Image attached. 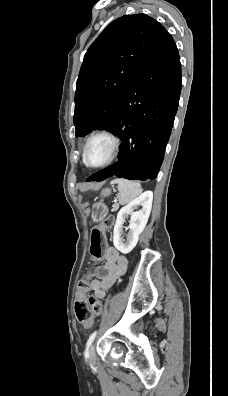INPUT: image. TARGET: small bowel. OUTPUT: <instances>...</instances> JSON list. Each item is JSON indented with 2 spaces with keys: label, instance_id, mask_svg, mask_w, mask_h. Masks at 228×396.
<instances>
[{
  "label": "small bowel",
  "instance_id": "1",
  "mask_svg": "<svg viewBox=\"0 0 228 396\" xmlns=\"http://www.w3.org/2000/svg\"><path fill=\"white\" fill-rule=\"evenodd\" d=\"M104 258V264L97 268L95 279L90 282L89 286V290L94 293L97 299H104L107 296V291L126 272L128 267L127 258L112 247L106 249Z\"/></svg>",
  "mask_w": 228,
  "mask_h": 396
}]
</instances>
